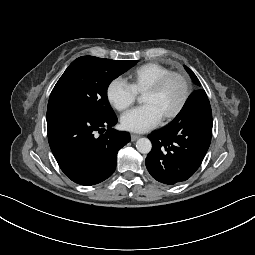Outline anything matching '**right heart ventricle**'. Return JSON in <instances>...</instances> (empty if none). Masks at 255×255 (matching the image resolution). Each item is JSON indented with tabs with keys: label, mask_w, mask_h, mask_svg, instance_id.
Returning <instances> with one entry per match:
<instances>
[{
	"label": "right heart ventricle",
	"mask_w": 255,
	"mask_h": 255,
	"mask_svg": "<svg viewBox=\"0 0 255 255\" xmlns=\"http://www.w3.org/2000/svg\"><path fill=\"white\" fill-rule=\"evenodd\" d=\"M171 70L159 63L150 62L136 68L130 75L131 86L137 93H144L160 77Z\"/></svg>",
	"instance_id": "1"
}]
</instances>
